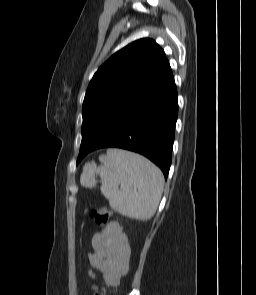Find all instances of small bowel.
<instances>
[{"label":"small bowel","instance_id":"c3829d8e","mask_svg":"<svg viewBox=\"0 0 256 295\" xmlns=\"http://www.w3.org/2000/svg\"><path fill=\"white\" fill-rule=\"evenodd\" d=\"M91 251L88 253L89 274L95 277V270L103 272L109 285H116L127 272L130 246L120 224L111 221L100 233L91 239ZM96 290V286L92 285Z\"/></svg>","mask_w":256,"mask_h":295}]
</instances>
